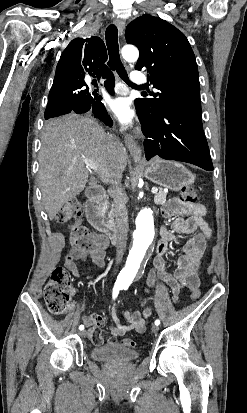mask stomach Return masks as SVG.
<instances>
[{
    "label": "stomach",
    "instance_id": "obj_1",
    "mask_svg": "<svg viewBox=\"0 0 247 413\" xmlns=\"http://www.w3.org/2000/svg\"><path fill=\"white\" fill-rule=\"evenodd\" d=\"M139 162L141 158H134ZM146 178L171 188V190H181L183 186H190L195 182V174L188 170L181 162L175 160H162V158H154L153 162H149L144 168Z\"/></svg>",
    "mask_w": 247,
    "mask_h": 413
}]
</instances>
